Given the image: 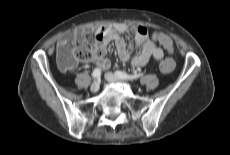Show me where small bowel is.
I'll return each mask as SVG.
<instances>
[{"instance_id": "obj_1", "label": "small bowel", "mask_w": 230, "mask_h": 155, "mask_svg": "<svg viewBox=\"0 0 230 155\" xmlns=\"http://www.w3.org/2000/svg\"><path fill=\"white\" fill-rule=\"evenodd\" d=\"M127 32L135 36L137 51L134 55H131L122 38V35ZM111 42L115 44L121 60H131L137 67L145 66L152 57L162 60L165 52L172 53L173 51V42L165 33L154 31L149 35L147 28L142 25L125 24L78 28L63 36L59 45L78 43L90 46L93 51L100 50L101 53L95 54L91 62L99 69L106 70L110 67V60L105 55V48Z\"/></svg>"}]
</instances>
